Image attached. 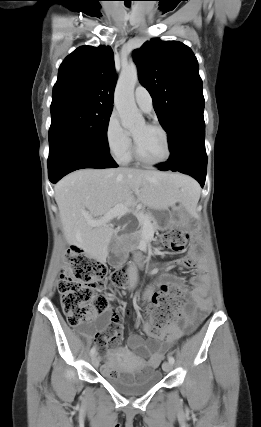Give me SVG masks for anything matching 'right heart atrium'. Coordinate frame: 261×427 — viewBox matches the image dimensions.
Wrapping results in <instances>:
<instances>
[{
  "instance_id": "d8ad5b80",
  "label": "right heart atrium",
  "mask_w": 261,
  "mask_h": 427,
  "mask_svg": "<svg viewBox=\"0 0 261 427\" xmlns=\"http://www.w3.org/2000/svg\"><path fill=\"white\" fill-rule=\"evenodd\" d=\"M104 135L110 154L117 161L125 162L130 154L132 141L129 132L123 128L115 112H112L107 119Z\"/></svg>"
}]
</instances>
